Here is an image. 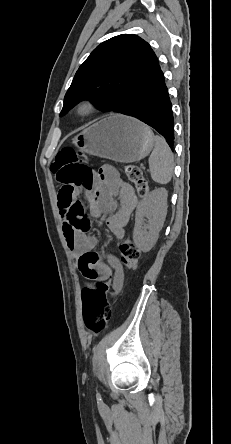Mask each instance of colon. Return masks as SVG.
Segmentation results:
<instances>
[{
  "mask_svg": "<svg viewBox=\"0 0 231 444\" xmlns=\"http://www.w3.org/2000/svg\"><path fill=\"white\" fill-rule=\"evenodd\" d=\"M51 170L58 181L71 189L77 186H88L93 180V170L85 164L77 151L68 147L62 148L58 152L51 165ZM124 173L127 179L134 184L139 195L147 194L148 182L137 165H124ZM71 214L75 228L81 233H87L90 229V221L84 214L82 204L79 202L74 204ZM120 251L127 270H134L140 257L136 245L130 239H125L120 246ZM109 289V282L98 280L82 293L85 324L89 330L96 334L106 328L112 316V305L108 298Z\"/></svg>",
  "mask_w": 231,
  "mask_h": 444,
  "instance_id": "colon-1",
  "label": "colon"
}]
</instances>
